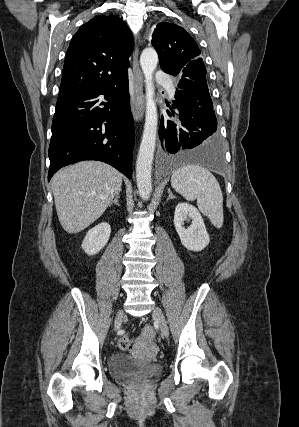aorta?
Instances as JSON below:
<instances>
[{"instance_id": "aorta-1", "label": "aorta", "mask_w": 299, "mask_h": 427, "mask_svg": "<svg viewBox=\"0 0 299 427\" xmlns=\"http://www.w3.org/2000/svg\"><path fill=\"white\" fill-rule=\"evenodd\" d=\"M158 63L155 49L146 48L140 56V65L145 77L146 115L145 125L136 161L137 188L142 200L147 201L152 192V162L156 146L158 114L154 100L153 72Z\"/></svg>"}]
</instances>
